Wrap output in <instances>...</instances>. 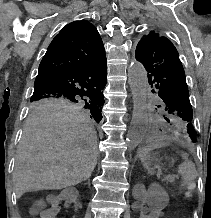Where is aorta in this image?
I'll return each instance as SVG.
<instances>
[{
  "instance_id": "aorta-1",
  "label": "aorta",
  "mask_w": 211,
  "mask_h": 218,
  "mask_svg": "<svg viewBox=\"0 0 211 218\" xmlns=\"http://www.w3.org/2000/svg\"><path fill=\"white\" fill-rule=\"evenodd\" d=\"M129 86L132 92L133 113L127 133V145L134 149L142 141L147 125L148 78L145 68L139 62H132L128 69Z\"/></svg>"
}]
</instances>
